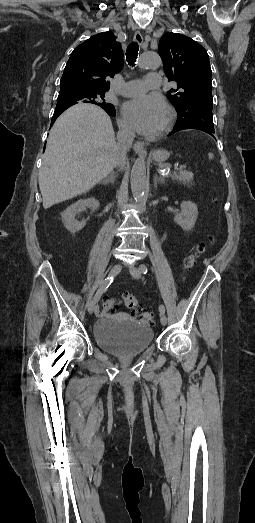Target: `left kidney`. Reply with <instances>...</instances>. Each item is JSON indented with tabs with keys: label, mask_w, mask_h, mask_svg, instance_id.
I'll return each instance as SVG.
<instances>
[{
	"label": "left kidney",
	"mask_w": 255,
	"mask_h": 523,
	"mask_svg": "<svg viewBox=\"0 0 255 523\" xmlns=\"http://www.w3.org/2000/svg\"><path fill=\"white\" fill-rule=\"evenodd\" d=\"M197 216L198 210L196 204H193V202H182L181 214H176V216H174V222L179 224L183 230L188 232V230L193 228Z\"/></svg>",
	"instance_id": "obj_1"
}]
</instances>
